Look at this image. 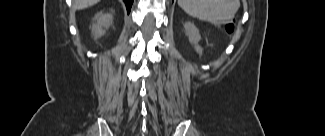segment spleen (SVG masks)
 <instances>
[{
    "instance_id": "3e777b00",
    "label": "spleen",
    "mask_w": 325,
    "mask_h": 136,
    "mask_svg": "<svg viewBox=\"0 0 325 136\" xmlns=\"http://www.w3.org/2000/svg\"><path fill=\"white\" fill-rule=\"evenodd\" d=\"M178 5L190 16L220 26L231 18L223 0H179Z\"/></svg>"
}]
</instances>
